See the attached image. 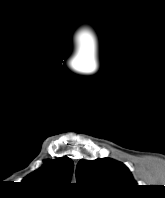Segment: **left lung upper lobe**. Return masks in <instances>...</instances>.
Here are the masks:
<instances>
[{"label": "left lung upper lobe", "mask_w": 165, "mask_h": 198, "mask_svg": "<svg viewBox=\"0 0 165 198\" xmlns=\"http://www.w3.org/2000/svg\"><path fill=\"white\" fill-rule=\"evenodd\" d=\"M76 179L78 184L95 188L109 197L130 195L131 189L137 185L128 168L110 158L80 160Z\"/></svg>", "instance_id": "5c2ea615"}]
</instances>
